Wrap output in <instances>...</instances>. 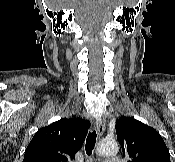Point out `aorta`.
Masks as SVG:
<instances>
[{"instance_id":"1","label":"aorta","mask_w":175,"mask_h":162,"mask_svg":"<svg viewBox=\"0 0 175 162\" xmlns=\"http://www.w3.org/2000/svg\"><path fill=\"white\" fill-rule=\"evenodd\" d=\"M97 152L101 156L115 155L118 152V145L114 140H102L97 146Z\"/></svg>"}]
</instances>
